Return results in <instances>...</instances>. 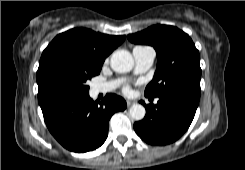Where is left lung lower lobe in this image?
Here are the masks:
<instances>
[{"label": "left lung lower lobe", "mask_w": 245, "mask_h": 170, "mask_svg": "<svg viewBox=\"0 0 245 170\" xmlns=\"http://www.w3.org/2000/svg\"><path fill=\"white\" fill-rule=\"evenodd\" d=\"M158 98L156 105H146L141 101L146 115L134 124V130L151 145H166L178 140L189 128L199 98L183 93H167Z\"/></svg>", "instance_id": "0a47b994"}]
</instances>
